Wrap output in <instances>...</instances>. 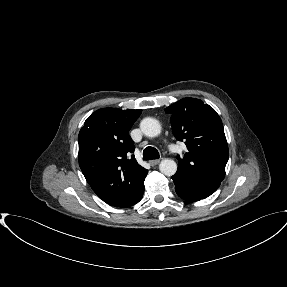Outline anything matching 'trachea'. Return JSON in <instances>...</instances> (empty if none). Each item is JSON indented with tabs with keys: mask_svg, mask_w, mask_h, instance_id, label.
Masks as SVG:
<instances>
[{
	"mask_svg": "<svg viewBox=\"0 0 287 287\" xmlns=\"http://www.w3.org/2000/svg\"><path fill=\"white\" fill-rule=\"evenodd\" d=\"M159 158V152L156 148L148 146L143 151V160H153Z\"/></svg>",
	"mask_w": 287,
	"mask_h": 287,
	"instance_id": "1",
	"label": "trachea"
}]
</instances>
